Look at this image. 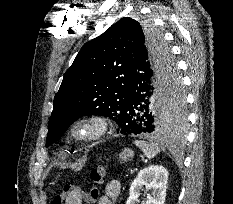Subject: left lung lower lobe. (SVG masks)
Returning a JSON list of instances; mask_svg holds the SVG:
<instances>
[{"mask_svg":"<svg viewBox=\"0 0 233 204\" xmlns=\"http://www.w3.org/2000/svg\"><path fill=\"white\" fill-rule=\"evenodd\" d=\"M162 57L158 58L161 62ZM171 80L161 74L159 64L155 68L148 49L141 48L130 72L128 95L121 106L120 130L124 135L160 132L161 107L167 88L170 90L180 78L177 67L170 73ZM169 85V87H168ZM155 106V107H154ZM184 122L178 127L163 131H176L182 137Z\"/></svg>","mask_w":233,"mask_h":204,"instance_id":"obj_1","label":"left lung lower lobe"}]
</instances>
